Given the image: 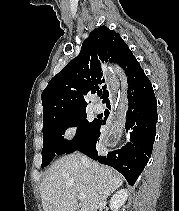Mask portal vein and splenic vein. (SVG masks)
I'll use <instances>...</instances> for the list:
<instances>
[{
  "label": "portal vein and splenic vein",
  "instance_id": "portal-vein-and-splenic-vein-1",
  "mask_svg": "<svg viewBox=\"0 0 179 211\" xmlns=\"http://www.w3.org/2000/svg\"><path fill=\"white\" fill-rule=\"evenodd\" d=\"M78 199H79L80 201H83V200L85 199V195H83V194H78Z\"/></svg>",
  "mask_w": 179,
  "mask_h": 211
}]
</instances>
